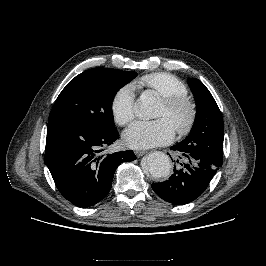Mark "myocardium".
Returning <instances> with one entry per match:
<instances>
[{
	"label": "myocardium",
	"instance_id": "f54148a6",
	"mask_svg": "<svg viewBox=\"0 0 266 266\" xmlns=\"http://www.w3.org/2000/svg\"><path fill=\"white\" fill-rule=\"evenodd\" d=\"M162 102L172 113L186 111L185 117L175 125V130L180 135L188 134L193 129L198 116V107L193 98L187 94L173 95L162 97Z\"/></svg>",
	"mask_w": 266,
	"mask_h": 266
}]
</instances>
